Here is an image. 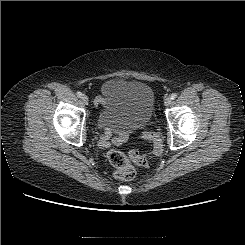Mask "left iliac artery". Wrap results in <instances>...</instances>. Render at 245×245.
Instances as JSON below:
<instances>
[{
    "label": "left iliac artery",
    "instance_id": "left-iliac-artery-1",
    "mask_svg": "<svg viewBox=\"0 0 245 245\" xmlns=\"http://www.w3.org/2000/svg\"><path fill=\"white\" fill-rule=\"evenodd\" d=\"M177 98V94L176 93H172L171 94V99L173 100V99H176Z\"/></svg>",
    "mask_w": 245,
    "mask_h": 245
}]
</instances>
